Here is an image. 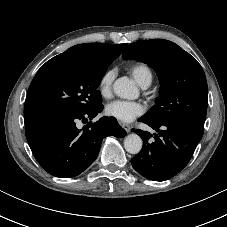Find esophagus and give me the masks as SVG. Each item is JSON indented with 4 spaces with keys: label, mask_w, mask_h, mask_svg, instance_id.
I'll return each mask as SVG.
<instances>
[{
    "label": "esophagus",
    "mask_w": 227,
    "mask_h": 227,
    "mask_svg": "<svg viewBox=\"0 0 227 227\" xmlns=\"http://www.w3.org/2000/svg\"><path fill=\"white\" fill-rule=\"evenodd\" d=\"M119 124L122 126V128L127 132L129 133L131 131V126L124 123V122H119Z\"/></svg>",
    "instance_id": "esophagus-1"
}]
</instances>
